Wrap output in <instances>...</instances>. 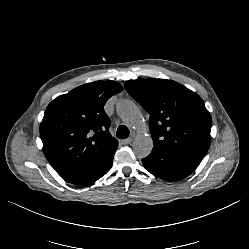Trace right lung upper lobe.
<instances>
[{
    "instance_id": "1",
    "label": "right lung upper lobe",
    "mask_w": 249,
    "mask_h": 249,
    "mask_svg": "<svg viewBox=\"0 0 249 249\" xmlns=\"http://www.w3.org/2000/svg\"><path fill=\"white\" fill-rule=\"evenodd\" d=\"M115 81L79 86L54 99L40 124L44 154L65 180L79 175L118 146L108 129L107 100L121 92Z\"/></svg>"
}]
</instances>
